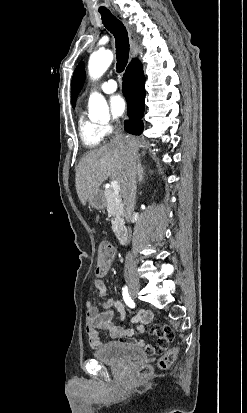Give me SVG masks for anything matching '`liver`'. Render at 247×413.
Wrapping results in <instances>:
<instances>
[{
  "label": "liver",
  "instance_id": "1",
  "mask_svg": "<svg viewBox=\"0 0 247 413\" xmlns=\"http://www.w3.org/2000/svg\"><path fill=\"white\" fill-rule=\"evenodd\" d=\"M132 138L137 150L145 144V142H141L135 136H132ZM126 152L125 142L123 144L108 142V144H104L100 148L87 150L83 154L75 172V186L82 204H86L90 194L98 190L108 176L117 178L119 182H122L127 158Z\"/></svg>",
  "mask_w": 247,
  "mask_h": 413
}]
</instances>
